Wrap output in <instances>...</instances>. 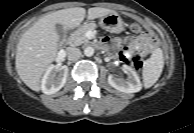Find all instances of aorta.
Segmentation results:
<instances>
[{"instance_id":"obj_1","label":"aorta","mask_w":194,"mask_h":133,"mask_svg":"<svg viewBox=\"0 0 194 133\" xmlns=\"http://www.w3.org/2000/svg\"><path fill=\"white\" fill-rule=\"evenodd\" d=\"M84 54L87 57H91L94 54V48L93 47H90V46L86 47L84 49Z\"/></svg>"}]
</instances>
